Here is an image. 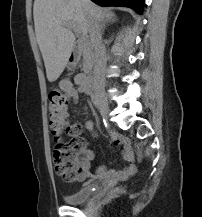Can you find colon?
I'll return each instance as SVG.
<instances>
[{
    "mask_svg": "<svg viewBox=\"0 0 202 217\" xmlns=\"http://www.w3.org/2000/svg\"><path fill=\"white\" fill-rule=\"evenodd\" d=\"M68 97L58 90L48 94L49 124L54 136L53 158L55 169L65 181H74L83 175L82 154L85 142L76 134L70 132L66 122ZM67 132L70 136L64 140L62 134Z\"/></svg>",
    "mask_w": 202,
    "mask_h": 217,
    "instance_id": "1",
    "label": "colon"
}]
</instances>
